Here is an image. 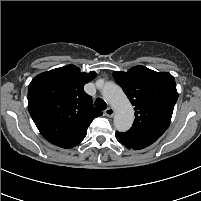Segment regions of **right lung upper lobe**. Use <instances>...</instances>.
<instances>
[{"instance_id":"right-lung-upper-lobe-1","label":"right lung upper lobe","mask_w":201,"mask_h":201,"mask_svg":"<svg viewBox=\"0 0 201 201\" xmlns=\"http://www.w3.org/2000/svg\"><path fill=\"white\" fill-rule=\"evenodd\" d=\"M95 72L67 65L37 75L28 87V109L42 136L64 147L81 142L94 118L102 115L84 90Z\"/></svg>"}]
</instances>
